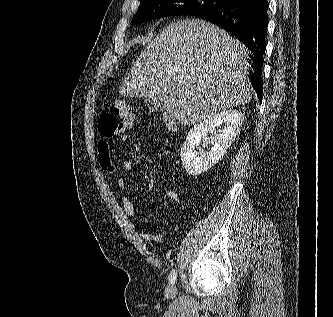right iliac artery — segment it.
I'll list each match as a JSON object with an SVG mask.
<instances>
[{"label": "right iliac artery", "instance_id": "obj_1", "mask_svg": "<svg viewBox=\"0 0 333 317\" xmlns=\"http://www.w3.org/2000/svg\"><path fill=\"white\" fill-rule=\"evenodd\" d=\"M177 278V273L175 270H172L170 275H169V283L174 284Z\"/></svg>", "mask_w": 333, "mask_h": 317}]
</instances>
